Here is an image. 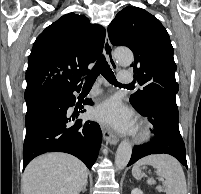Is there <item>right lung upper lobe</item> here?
I'll return each instance as SVG.
<instances>
[{
    "label": "right lung upper lobe",
    "mask_w": 201,
    "mask_h": 194,
    "mask_svg": "<svg viewBox=\"0 0 201 194\" xmlns=\"http://www.w3.org/2000/svg\"><path fill=\"white\" fill-rule=\"evenodd\" d=\"M105 30L84 15L69 13L48 26L36 39L28 58L27 87L74 89L88 65L102 52Z\"/></svg>",
    "instance_id": "right-lung-upper-lobe-1"
}]
</instances>
